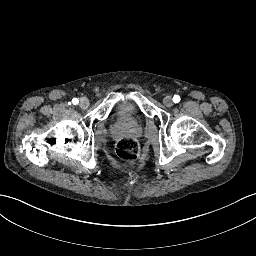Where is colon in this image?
Instances as JSON below:
<instances>
[{"label":"colon","instance_id":"colon-1","mask_svg":"<svg viewBox=\"0 0 256 256\" xmlns=\"http://www.w3.org/2000/svg\"><path fill=\"white\" fill-rule=\"evenodd\" d=\"M118 156L129 163L137 161L139 158V146L134 138L123 137L117 144Z\"/></svg>","mask_w":256,"mask_h":256}]
</instances>
